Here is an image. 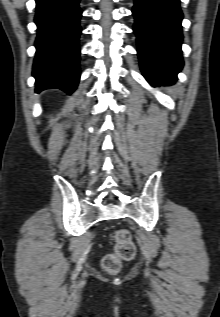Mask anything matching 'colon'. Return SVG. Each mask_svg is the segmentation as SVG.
<instances>
[{
    "label": "colon",
    "mask_w": 220,
    "mask_h": 317,
    "mask_svg": "<svg viewBox=\"0 0 220 317\" xmlns=\"http://www.w3.org/2000/svg\"><path fill=\"white\" fill-rule=\"evenodd\" d=\"M115 252L104 258L103 267L108 273H116L123 261H130L135 255V245L126 230H117L114 233Z\"/></svg>",
    "instance_id": "5ec220e1"
}]
</instances>
